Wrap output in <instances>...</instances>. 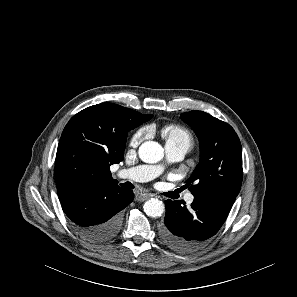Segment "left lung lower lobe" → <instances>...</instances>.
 Returning a JSON list of instances; mask_svg holds the SVG:
<instances>
[{
	"label": "left lung lower lobe",
	"instance_id": "obj_1",
	"mask_svg": "<svg viewBox=\"0 0 297 297\" xmlns=\"http://www.w3.org/2000/svg\"><path fill=\"white\" fill-rule=\"evenodd\" d=\"M234 197H195L190 208L183 200H166L164 224L160 227L162 242L172 250L190 252L214 236L225 222Z\"/></svg>",
	"mask_w": 297,
	"mask_h": 297
}]
</instances>
